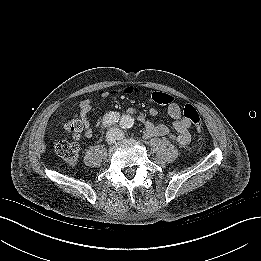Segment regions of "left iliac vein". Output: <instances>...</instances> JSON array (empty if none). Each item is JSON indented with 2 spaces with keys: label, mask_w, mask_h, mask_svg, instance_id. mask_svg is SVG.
I'll return each instance as SVG.
<instances>
[{
  "label": "left iliac vein",
  "mask_w": 261,
  "mask_h": 261,
  "mask_svg": "<svg viewBox=\"0 0 261 261\" xmlns=\"http://www.w3.org/2000/svg\"><path fill=\"white\" fill-rule=\"evenodd\" d=\"M115 133L117 134V138L119 140L124 138V133L122 131H120L119 129H114Z\"/></svg>",
  "instance_id": "1"
}]
</instances>
